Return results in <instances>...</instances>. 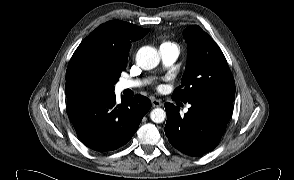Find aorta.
Instances as JSON below:
<instances>
[{"label":"aorta","instance_id":"1","mask_svg":"<svg viewBox=\"0 0 294 180\" xmlns=\"http://www.w3.org/2000/svg\"><path fill=\"white\" fill-rule=\"evenodd\" d=\"M136 62L143 70H151L159 64L160 56L155 48L144 46L138 50ZM150 118L154 123H162L166 118V112L162 108H155L151 111Z\"/></svg>","mask_w":294,"mask_h":180}]
</instances>
